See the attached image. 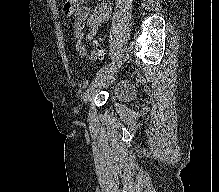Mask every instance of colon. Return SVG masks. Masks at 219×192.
I'll return each instance as SVG.
<instances>
[{
    "label": "colon",
    "instance_id": "colon-1",
    "mask_svg": "<svg viewBox=\"0 0 219 192\" xmlns=\"http://www.w3.org/2000/svg\"><path fill=\"white\" fill-rule=\"evenodd\" d=\"M93 52L98 55V56H102L104 54V47L100 41V39H96L93 42Z\"/></svg>",
    "mask_w": 219,
    "mask_h": 192
}]
</instances>
